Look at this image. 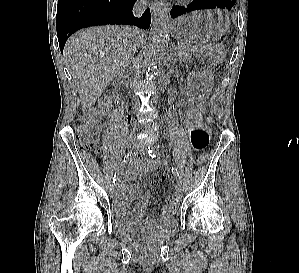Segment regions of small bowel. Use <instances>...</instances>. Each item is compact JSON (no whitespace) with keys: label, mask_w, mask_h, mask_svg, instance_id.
I'll use <instances>...</instances> for the list:
<instances>
[{"label":"small bowel","mask_w":299,"mask_h":273,"mask_svg":"<svg viewBox=\"0 0 299 273\" xmlns=\"http://www.w3.org/2000/svg\"><path fill=\"white\" fill-rule=\"evenodd\" d=\"M191 102L192 100L189 95L182 96L179 99V111L180 115L185 120V125L189 132L193 148L200 151L208 145V128L205 124L196 126L188 123V117L192 108ZM155 168L156 164L154 162L145 159L136 160L128 167L120 183L116 197L118 206L123 212H129L130 204L138 191V186L131 185L130 182L150 174ZM159 180L164 181L165 175H161ZM150 198L151 194L149 192L144 194L129 213L134 215L137 219H140L148 206ZM176 208L177 207H173L169 203L164 205L160 214L161 219L163 220L171 217L175 213Z\"/></svg>","instance_id":"1"}]
</instances>
